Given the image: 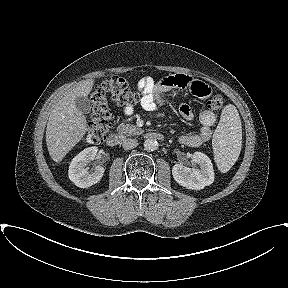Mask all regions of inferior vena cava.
Here are the masks:
<instances>
[{
  "mask_svg": "<svg viewBox=\"0 0 288 288\" xmlns=\"http://www.w3.org/2000/svg\"><path fill=\"white\" fill-rule=\"evenodd\" d=\"M138 141L137 139L127 138L123 141V148L124 150H130L137 147Z\"/></svg>",
  "mask_w": 288,
  "mask_h": 288,
  "instance_id": "inferior-vena-cava-1",
  "label": "inferior vena cava"
}]
</instances>
